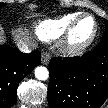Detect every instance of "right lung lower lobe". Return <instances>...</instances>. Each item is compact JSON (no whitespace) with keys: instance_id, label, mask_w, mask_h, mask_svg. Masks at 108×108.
<instances>
[{"instance_id":"1","label":"right lung lower lobe","mask_w":108,"mask_h":108,"mask_svg":"<svg viewBox=\"0 0 108 108\" xmlns=\"http://www.w3.org/2000/svg\"><path fill=\"white\" fill-rule=\"evenodd\" d=\"M40 63L39 51L25 54L12 47H0V108L15 104L20 81Z\"/></svg>"}]
</instances>
